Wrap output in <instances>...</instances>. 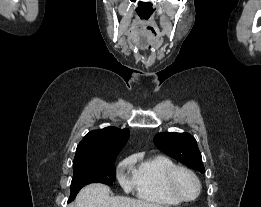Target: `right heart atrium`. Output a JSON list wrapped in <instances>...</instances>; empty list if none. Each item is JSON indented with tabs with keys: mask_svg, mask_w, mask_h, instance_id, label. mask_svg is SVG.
Wrapping results in <instances>:
<instances>
[{
	"mask_svg": "<svg viewBox=\"0 0 261 207\" xmlns=\"http://www.w3.org/2000/svg\"><path fill=\"white\" fill-rule=\"evenodd\" d=\"M130 165V158H127L120 163L117 171L119 182L126 191H131L135 187L134 176L127 174Z\"/></svg>",
	"mask_w": 261,
	"mask_h": 207,
	"instance_id": "obj_1",
	"label": "right heart atrium"
}]
</instances>
